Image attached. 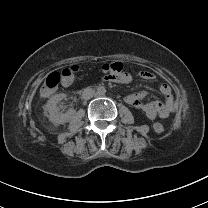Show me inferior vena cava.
Here are the masks:
<instances>
[{
  "label": "inferior vena cava",
  "mask_w": 208,
  "mask_h": 208,
  "mask_svg": "<svg viewBox=\"0 0 208 208\" xmlns=\"http://www.w3.org/2000/svg\"><path fill=\"white\" fill-rule=\"evenodd\" d=\"M94 94H95V92L93 91L92 88L86 87L83 89L82 98L85 100H89L94 96Z\"/></svg>",
  "instance_id": "602c4592"
}]
</instances>
